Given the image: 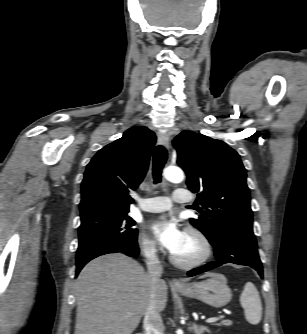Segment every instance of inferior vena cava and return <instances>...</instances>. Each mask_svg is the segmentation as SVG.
Wrapping results in <instances>:
<instances>
[{"label": "inferior vena cava", "instance_id": "1", "mask_svg": "<svg viewBox=\"0 0 307 334\" xmlns=\"http://www.w3.org/2000/svg\"><path fill=\"white\" fill-rule=\"evenodd\" d=\"M146 264L148 268V274L153 282V287L151 289V295H150L151 300L144 315L143 328L145 334H159L158 332L163 328V323L160 312L158 311L156 306L155 296H156V284L160 281L163 269L156 255L155 246H150L147 249Z\"/></svg>", "mask_w": 307, "mask_h": 334}]
</instances>
